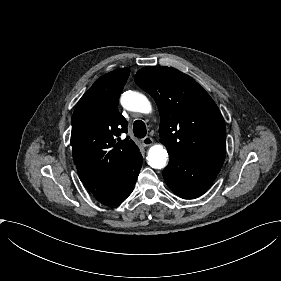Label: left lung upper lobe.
<instances>
[{
    "mask_svg": "<svg viewBox=\"0 0 281 281\" xmlns=\"http://www.w3.org/2000/svg\"><path fill=\"white\" fill-rule=\"evenodd\" d=\"M135 81L158 105L160 141L168 153L189 160L224 162V119L194 79L174 68L147 66L137 72Z\"/></svg>",
    "mask_w": 281,
    "mask_h": 281,
    "instance_id": "obj_1",
    "label": "left lung upper lobe"
}]
</instances>
